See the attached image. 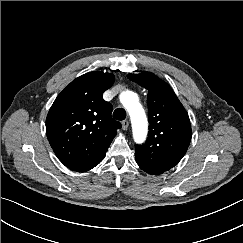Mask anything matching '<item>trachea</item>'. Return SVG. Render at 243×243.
<instances>
[{
    "instance_id": "3493384b",
    "label": "trachea",
    "mask_w": 243,
    "mask_h": 243,
    "mask_svg": "<svg viewBox=\"0 0 243 243\" xmlns=\"http://www.w3.org/2000/svg\"><path fill=\"white\" fill-rule=\"evenodd\" d=\"M113 117L116 120L122 121L126 118V111L123 108H117L113 113Z\"/></svg>"
}]
</instances>
